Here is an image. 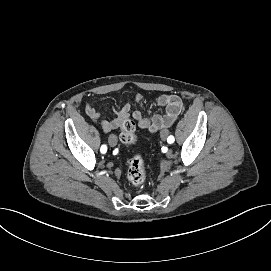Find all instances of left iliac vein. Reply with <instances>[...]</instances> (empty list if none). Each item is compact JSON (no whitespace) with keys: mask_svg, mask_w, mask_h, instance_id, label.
I'll return each instance as SVG.
<instances>
[{"mask_svg":"<svg viewBox=\"0 0 271 271\" xmlns=\"http://www.w3.org/2000/svg\"><path fill=\"white\" fill-rule=\"evenodd\" d=\"M160 136L163 140H166L167 139V136H168V130L167 129H163L161 132H160Z\"/></svg>","mask_w":271,"mask_h":271,"instance_id":"obj_1","label":"left iliac vein"}]
</instances>
